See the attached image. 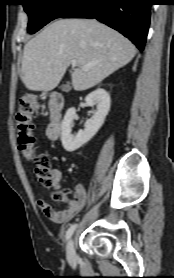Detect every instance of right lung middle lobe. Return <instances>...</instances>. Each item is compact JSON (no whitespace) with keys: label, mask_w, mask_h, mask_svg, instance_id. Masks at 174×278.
I'll return each instance as SVG.
<instances>
[{"label":"right lung middle lobe","mask_w":174,"mask_h":278,"mask_svg":"<svg viewBox=\"0 0 174 278\" xmlns=\"http://www.w3.org/2000/svg\"><path fill=\"white\" fill-rule=\"evenodd\" d=\"M29 15L28 32L35 33L50 21L59 18L78 0H23Z\"/></svg>","instance_id":"right-lung-middle-lobe-1"}]
</instances>
